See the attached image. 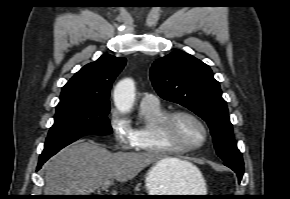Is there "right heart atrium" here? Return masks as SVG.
I'll return each instance as SVG.
<instances>
[{
    "mask_svg": "<svg viewBox=\"0 0 290 199\" xmlns=\"http://www.w3.org/2000/svg\"><path fill=\"white\" fill-rule=\"evenodd\" d=\"M110 127L117 148L122 150L131 149L133 146L132 127L117 110L111 112Z\"/></svg>",
    "mask_w": 290,
    "mask_h": 199,
    "instance_id": "1",
    "label": "right heart atrium"
}]
</instances>
